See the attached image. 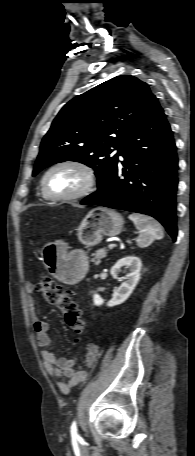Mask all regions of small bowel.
Returning <instances> with one entry per match:
<instances>
[{
  "label": "small bowel",
  "instance_id": "obj_1",
  "mask_svg": "<svg viewBox=\"0 0 195 456\" xmlns=\"http://www.w3.org/2000/svg\"><path fill=\"white\" fill-rule=\"evenodd\" d=\"M25 290L28 294V308L33 321L36 341L41 348L44 367L47 373L55 379L59 390L63 394H68L73 386L83 383L87 379V372L84 368L91 367L94 364L99 353V346L95 343L87 345L83 358V368L79 369L76 368L77 359L59 357L50 352L48 350L51 343L49 325L45 321L38 319L35 314L34 299L32 296L33 285L30 283L27 284Z\"/></svg>",
  "mask_w": 195,
  "mask_h": 456
}]
</instances>
